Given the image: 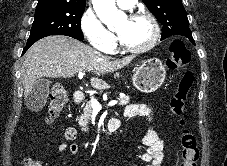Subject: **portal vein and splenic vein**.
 I'll list each match as a JSON object with an SVG mask.
<instances>
[{"label":"portal vein and splenic vein","instance_id":"portal-vein-and-splenic-vein-1","mask_svg":"<svg viewBox=\"0 0 227 166\" xmlns=\"http://www.w3.org/2000/svg\"><path fill=\"white\" fill-rule=\"evenodd\" d=\"M83 76H84V73L83 72H79L78 78L79 79H82ZM90 102H91V105H92L93 110L100 111L102 109V106L99 104V102L95 98L92 97L91 100H90ZM116 104H117V102L116 101H113V102H110L108 104V106H114Z\"/></svg>","mask_w":227,"mask_h":166}]
</instances>
